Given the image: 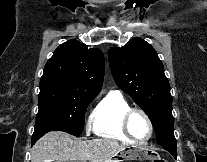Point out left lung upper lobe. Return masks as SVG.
I'll return each instance as SVG.
<instances>
[{"label": "left lung upper lobe", "mask_w": 207, "mask_h": 162, "mask_svg": "<svg viewBox=\"0 0 207 162\" xmlns=\"http://www.w3.org/2000/svg\"><path fill=\"white\" fill-rule=\"evenodd\" d=\"M117 85L149 116L160 145L176 141L170 85L153 47L141 38L108 51Z\"/></svg>", "instance_id": "5c2ea615"}]
</instances>
